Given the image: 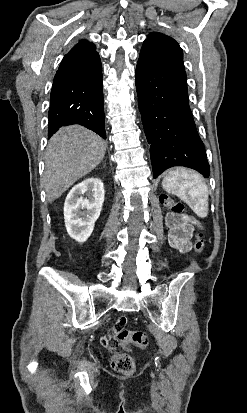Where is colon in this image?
Listing matches in <instances>:
<instances>
[{
  "mask_svg": "<svg viewBox=\"0 0 247 413\" xmlns=\"http://www.w3.org/2000/svg\"><path fill=\"white\" fill-rule=\"evenodd\" d=\"M161 203L168 210L172 212L175 216L185 217L188 213L185 209V206L182 202L177 201L171 197L163 196L161 198ZM193 248L199 253H204L205 244L200 232L194 233L193 236ZM116 339L118 342H121L123 345L129 348H125V351L132 349V346L138 347L139 351L148 350V335L145 331H134L130 329L129 332H120L117 334ZM134 352V350H133ZM111 366L118 372L121 373H131L135 370L136 364L134 359L127 353H116L115 357H110Z\"/></svg>",
  "mask_w": 247,
  "mask_h": 413,
  "instance_id": "colon-1",
  "label": "colon"
}]
</instances>
